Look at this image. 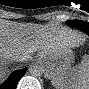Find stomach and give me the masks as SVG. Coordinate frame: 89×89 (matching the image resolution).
<instances>
[{
  "instance_id": "obj_1",
  "label": "stomach",
  "mask_w": 89,
  "mask_h": 89,
  "mask_svg": "<svg viewBox=\"0 0 89 89\" xmlns=\"http://www.w3.org/2000/svg\"><path fill=\"white\" fill-rule=\"evenodd\" d=\"M38 58L41 59L47 66V71L50 74L56 73L61 68L69 67L74 62L73 51L60 45L55 51L47 53H38Z\"/></svg>"
}]
</instances>
